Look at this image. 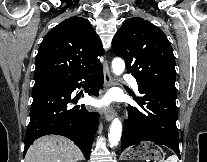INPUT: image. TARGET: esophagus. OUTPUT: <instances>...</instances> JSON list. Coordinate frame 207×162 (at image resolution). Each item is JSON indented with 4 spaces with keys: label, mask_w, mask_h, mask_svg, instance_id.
I'll return each mask as SVG.
<instances>
[{
    "label": "esophagus",
    "mask_w": 207,
    "mask_h": 162,
    "mask_svg": "<svg viewBox=\"0 0 207 162\" xmlns=\"http://www.w3.org/2000/svg\"><path fill=\"white\" fill-rule=\"evenodd\" d=\"M103 73H104V87L105 90H108L112 85V75L107 61H105L104 63ZM101 113L106 121H111L115 116V110L112 106L105 108Z\"/></svg>",
    "instance_id": "1"
}]
</instances>
